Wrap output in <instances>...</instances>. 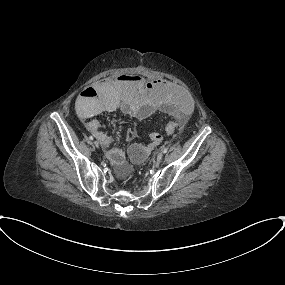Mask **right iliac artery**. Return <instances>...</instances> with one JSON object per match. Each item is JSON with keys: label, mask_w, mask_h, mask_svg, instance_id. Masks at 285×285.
<instances>
[{"label": "right iliac artery", "mask_w": 285, "mask_h": 285, "mask_svg": "<svg viewBox=\"0 0 285 285\" xmlns=\"http://www.w3.org/2000/svg\"><path fill=\"white\" fill-rule=\"evenodd\" d=\"M90 140H93V136H90Z\"/></svg>", "instance_id": "82829eb1"}]
</instances>
